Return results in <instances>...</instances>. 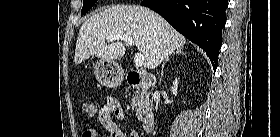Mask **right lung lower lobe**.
<instances>
[{
  "label": "right lung lower lobe",
  "mask_w": 280,
  "mask_h": 137,
  "mask_svg": "<svg viewBox=\"0 0 280 137\" xmlns=\"http://www.w3.org/2000/svg\"><path fill=\"white\" fill-rule=\"evenodd\" d=\"M141 5L160 14L206 51L214 70L217 68L228 0H144Z\"/></svg>",
  "instance_id": "1"
}]
</instances>
